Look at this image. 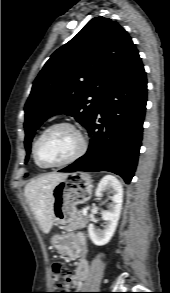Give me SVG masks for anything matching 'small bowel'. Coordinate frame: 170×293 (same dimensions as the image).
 Instances as JSON below:
<instances>
[{"instance_id": "1", "label": "small bowel", "mask_w": 170, "mask_h": 293, "mask_svg": "<svg viewBox=\"0 0 170 293\" xmlns=\"http://www.w3.org/2000/svg\"><path fill=\"white\" fill-rule=\"evenodd\" d=\"M65 253L69 258H78L75 275L72 277L74 289L80 288L84 279L89 275L90 268L87 261V241L81 233H68L65 237Z\"/></svg>"}]
</instances>
